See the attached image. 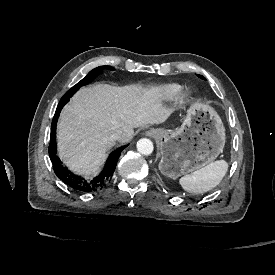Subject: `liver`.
<instances>
[{
    "label": "liver",
    "instance_id": "1",
    "mask_svg": "<svg viewBox=\"0 0 275 275\" xmlns=\"http://www.w3.org/2000/svg\"><path fill=\"white\" fill-rule=\"evenodd\" d=\"M160 105L152 88L97 85L81 89L61 114L60 157L78 173H98L106 149L115 144L110 134L121 129L118 141L124 144L132 138L133 127L164 123L171 113Z\"/></svg>",
    "mask_w": 275,
    "mask_h": 275
}]
</instances>
